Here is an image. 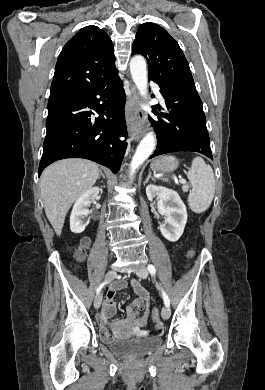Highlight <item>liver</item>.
I'll use <instances>...</instances> for the list:
<instances>
[{"label":"liver","mask_w":265,"mask_h":390,"mask_svg":"<svg viewBox=\"0 0 265 390\" xmlns=\"http://www.w3.org/2000/svg\"><path fill=\"white\" fill-rule=\"evenodd\" d=\"M99 176L96 163L79 158L57 161L43 171L41 197L46 216L58 236L71 205L96 183Z\"/></svg>","instance_id":"6515ba94"}]
</instances>
